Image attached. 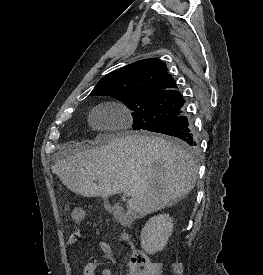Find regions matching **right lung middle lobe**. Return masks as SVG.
I'll use <instances>...</instances> for the list:
<instances>
[{
    "label": "right lung middle lobe",
    "mask_w": 263,
    "mask_h": 275,
    "mask_svg": "<svg viewBox=\"0 0 263 275\" xmlns=\"http://www.w3.org/2000/svg\"><path fill=\"white\" fill-rule=\"evenodd\" d=\"M91 95H111L132 110L133 129L151 131L184 113L185 100L179 95H134L123 90H102ZM191 150L194 147L185 146Z\"/></svg>",
    "instance_id": "obj_1"
}]
</instances>
